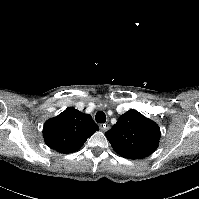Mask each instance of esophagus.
<instances>
[{
	"label": "esophagus",
	"mask_w": 199,
	"mask_h": 199,
	"mask_svg": "<svg viewBox=\"0 0 199 199\" xmlns=\"http://www.w3.org/2000/svg\"><path fill=\"white\" fill-rule=\"evenodd\" d=\"M110 126L108 124H101L100 125V130L103 132H106L107 130H109Z\"/></svg>",
	"instance_id": "1"
}]
</instances>
